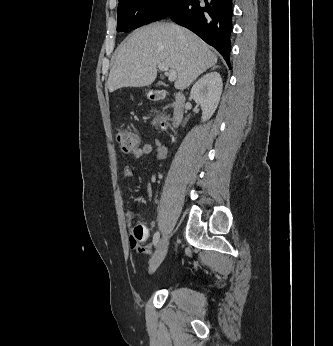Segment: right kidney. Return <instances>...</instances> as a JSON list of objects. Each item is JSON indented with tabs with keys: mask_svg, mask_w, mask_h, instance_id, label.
<instances>
[{
	"mask_svg": "<svg viewBox=\"0 0 333 346\" xmlns=\"http://www.w3.org/2000/svg\"><path fill=\"white\" fill-rule=\"evenodd\" d=\"M223 89L218 72H211L200 78L192 87L190 96L202 109V121L211 118L220 101Z\"/></svg>",
	"mask_w": 333,
	"mask_h": 346,
	"instance_id": "ca27d5eb",
	"label": "right kidney"
}]
</instances>
